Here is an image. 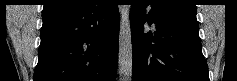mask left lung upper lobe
Returning <instances> with one entry per match:
<instances>
[{
  "label": "left lung upper lobe",
  "instance_id": "5c2ea615",
  "mask_svg": "<svg viewBox=\"0 0 237 81\" xmlns=\"http://www.w3.org/2000/svg\"><path fill=\"white\" fill-rule=\"evenodd\" d=\"M163 9L196 15L194 0H152Z\"/></svg>",
  "mask_w": 237,
  "mask_h": 81
}]
</instances>
